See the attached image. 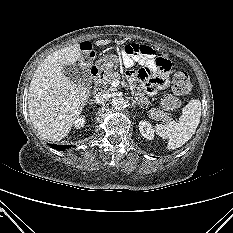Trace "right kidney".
Masks as SVG:
<instances>
[{"label": "right kidney", "mask_w": 233, "mask_h": 233, "mask_svg": "<svg viewBox=\"0 0 233 233\" xmlns=\"http://www.w3.org/2000/svg\"><path fill=\"white\" fill-rule=\"evenodd\" d=\"M84 117L85 116L77 118L75 120V122H74L75 125L74 126H75L76 129H80L81 127H84V125H85V118Z\"/></svg>", "instance_id": "right-kidney-1"}]
</instances>
